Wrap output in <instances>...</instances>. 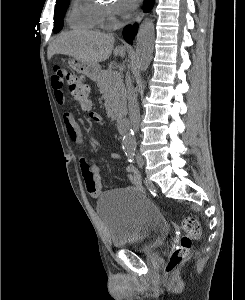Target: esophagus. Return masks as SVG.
I'll return each mask as SVG.
<instances>
[{"instance_id":"obj_1","label":"esophagus","mask_w":245,"mask_h":300,"mask_svg":"<svg viewBox=\"0 0 245 300\" xmlns=\"http://www.w3.org/2000/svg\"><path fill=\"white\" fill-rule=\"evenodd\" d=\"M142 17H143V12H142V11H139V12L135 15L134 23L140 21V20L142 19Z\"/></svg>"}]
</instances>
